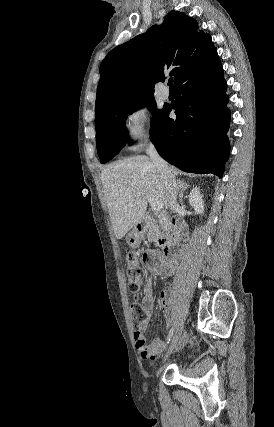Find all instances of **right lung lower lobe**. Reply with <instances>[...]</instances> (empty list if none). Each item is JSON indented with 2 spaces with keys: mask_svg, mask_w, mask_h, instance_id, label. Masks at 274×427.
<instances>
[{
  "mask_svg": "<svg viewBox=\"0 0 274 427\" xmlns=\"http://www.w3.org/2000/svg\"><path fill=\"white\" fill-rule=\"evenodd\" d=\"M176 100L151 128L158 153L179 169L220 178L229 155L230 111L221 63L189 74L176 86ZM174 109L176 119L168 118Z\"/></svg>",
  "mask_w": 274,
  "mask_h": 427,
  "instance_id": "1",
  "label": "right lung lower lobe"
}]
</instances>
